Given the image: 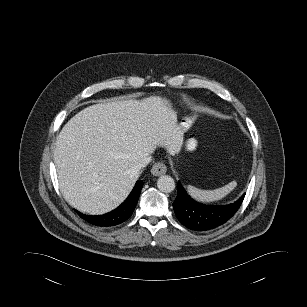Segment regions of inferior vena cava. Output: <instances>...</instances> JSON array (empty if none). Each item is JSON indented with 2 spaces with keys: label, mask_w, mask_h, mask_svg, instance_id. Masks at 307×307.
<instances>
[{
  "label": "inferior vena cava",
  "mask_w": 307,
  "mask_h": 307,
  "mask_svg": "<svg viewBox=\"0 0 307 307\" xmlns=\"http://www.w3.org/2000/svg\"><path fill=\"white\" fill-rule=\"evenodd\" d=\"M152 158L149 154L144 155L137 163L136 170L140 171L142 168L146 167L150 162Z\"/></svg>",
  "instance_id": "602c4592"
}]
</instances>
